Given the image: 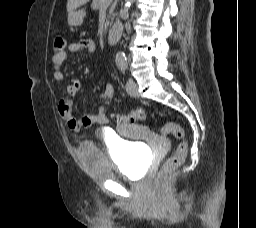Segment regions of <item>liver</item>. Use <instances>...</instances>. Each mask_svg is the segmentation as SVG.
<instances>
[{
  "mask_svg": "<svg viewBox=\"0 0 256 228\" xmlns=\"http://www.w3.org/2000/svg\"><path fill=\"white\" fill-rule=\"evenodd\" d=\"M89 0H68L67 1V11L68 13L84 4H86Z\"/></svg>",
  "mask_w": 256,
  "mask_h": 228,
  "instance_id": "liver-1",
  "label": "liver"
}]
</instances>
